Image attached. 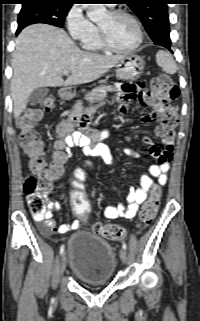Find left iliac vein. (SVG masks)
I'll return each mask as SVG.
<instances>
[{"instance_id":"1","label":"left iliac vein","mask_w":200,"mask_h":321,"mask_svg":"<svg viewBox=\"0 0 200 321\" xmlns=\"http://www.w3.org/2000/svg\"><path fill=\"white\" fill-rule=\"evenodd\" d=\"M120 258H121L123 263L127 262V252H126V250L124 248H122L120 250Z\"/></svg>"}]
</instances>
